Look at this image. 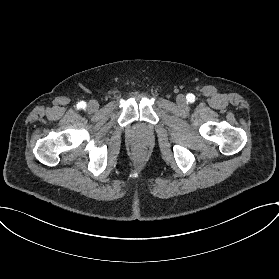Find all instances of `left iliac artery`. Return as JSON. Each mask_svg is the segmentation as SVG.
<instances>
[{
	"label": "left iliac artery",
	"mask_w": 279,
	"mask_h": 279,
	"mask_svg": "<svg viewBox=\"0 0 279 279\" xmlns=\"http://www.w3.org/2000/svg\"><path fill=\"white\" fill-rule=\"evenodd\" d=\"M186 98L190 103L195 101V96L193 94H188Z\"/></svg>",
	"instance_id": "left-iliac-artery-1"
}]
</instances>
